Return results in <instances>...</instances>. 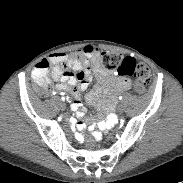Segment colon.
Returning a JSON list of instances; mask_svg holds the SVG:
<instances>
[{"label":"colon","instance_id":"obj_1","mask_svg":"<svg viewBox=\"0 0 183 183\" xmlns=\"http://www.w3.org/2000/svg\"><path fill=\"white\" fill-rule=\"evenodd\" d=\"M68 58L71 62L79 64H84L87 60L84 51L81 50L71 53ZM101 64L105 69L115 71L122 77L134 78V91L137 94H142L151 80V72L148 66L143 63H137L135 59L131 57H123L119 53L103 52L101 54ZM49 67V61L42 60L35 66L32 73L35 85L43 91H46L49 88ZM98 136L99 135L95 134L92 130L86 131L84 134L85 146H94L96 137Z\"/></svg>","mask_w":183,"mask_h":183}]
</instances>
